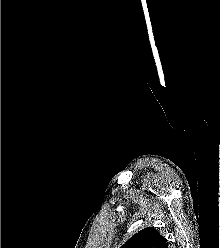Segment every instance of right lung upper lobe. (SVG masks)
Returning <instances> with one entry per match:
<instances>
[{"label":"right lung upper lobe","instance_id":"cb5924a9","mask_svg":"<svg viewBox=\"0 0 220 248\" xmlns=\"http://www.w3.org/2000/svg\"><path fill=\"white\" fill-rule=\"evenodd\" d=\"M121 248H168V244L154 227H148L134 234Z\"/></svg>","mask_w":220,"mask_h":248}]
</instances>
